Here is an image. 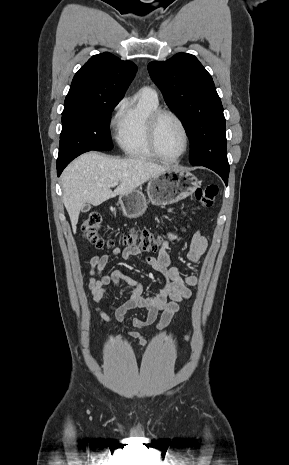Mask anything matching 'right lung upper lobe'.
Segmentation results:
<instances>
[{
	"label": "right lung upper lobe",
	"instance_id": "1",
	"mask_svg": "<svg viewBox=\"0 0 289 465\" xmlns=\"http://www.w3.org/2000/svg\"><path fill=\"white\" fill-rule=\"evenodd\" d=\"M137 71L131 61L105 52L92 56L75 74L62 113L78 112L112 100H121Z\"/></svg>",
	"mask_w": 289,
	"mask_h": 465
}]
</instances>
